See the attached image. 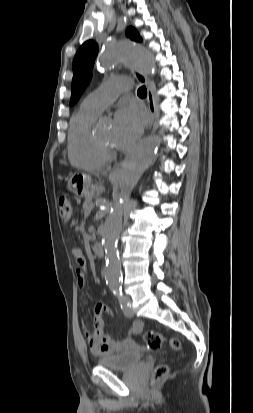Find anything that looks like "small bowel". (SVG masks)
I'll use <instances>...</instances> for the list:
<instances>
[{
  "mask_svg": "<svg viewBox=\"0 0 253 413\" xmlns=\"http://www.w3.org/2000/svg\"><path fill=\"white\" fill-rule=\"evenodd\" d=\"M72 254L79 263H83L82 252L79 249H73ZM76 279L78 286L84 288L86 281L82 271L77 272ZM104 313L110 314L109 309L103 304H97L94 312L93 326L90 330L85 328L86 341L90 352L95 356H103L133 348L135 342L132 336L142 331L143 323L141 321L135 322L124 338L114 339L105 331Z\"/></svg>",
  "mask_w": 253,
  "mask_h": 413,
  "instance_id": "c3829d8e",
  "label": "small bowel"
}]
</instances>
